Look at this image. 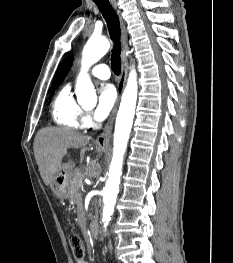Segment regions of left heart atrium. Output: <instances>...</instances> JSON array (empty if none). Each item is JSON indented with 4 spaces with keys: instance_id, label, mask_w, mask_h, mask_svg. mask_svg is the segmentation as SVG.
Here are the masks:
<instances>
[{
    "instance_id": "1",
    "label": "left heart atrium",
    "mask_w": 233,
    "mask_h": 263,
    "mask_svg": "<svg viewBox=\"0 0 233 263\" xmlns=\"http://www.w3.org/2000/svg\"><path fill=\"white\" fill-rule=\"evenodd\" d=\"M116 102V90L111 84H105L99 89L98 104L94 118L103 121L111 112Z\"/></svg>"
}]
</instances>
